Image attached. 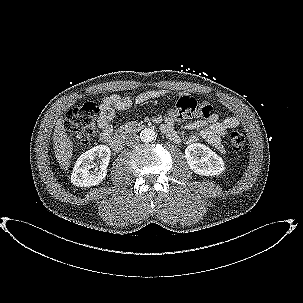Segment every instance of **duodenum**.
Here are the masks:
<instances>
[{"label":"duodenum","instance_id":"1","mask_svg":"<svg viewBox=\"0 0 303 303\" xmlns=\"http://www.w3.org/2000/svg\"><path fill=\"white\" fill-rule=\"evenodd\" d=\"M143 129V126L137 125V124H131L127 128H125L117 137L111 138L108 141V145L111 146L114 150L119 151L122 149L125 138L128 133L134 132V131H139ZM163 130V129H162ZM164 132V131H163ZM165 133V132H164ZM169 138L173 137V133L166 132L165 133Z\"/></svg>","mask_w":303,"mask_h":303}]
</instances>
